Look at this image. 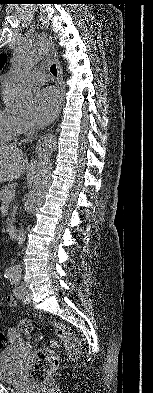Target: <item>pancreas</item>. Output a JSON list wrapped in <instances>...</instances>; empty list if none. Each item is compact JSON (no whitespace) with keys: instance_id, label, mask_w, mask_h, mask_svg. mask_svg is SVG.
Returning <instances> with one entry per match:
<instances>
[{"instance_id":"obj_1","label":"pancreas","mask_w":153,"mask_h":393,"mask_svg":"<svg viewBox=\"0 0 153 393\" xmlns=\"http://www.w3.org/2000/svg\"><path fill=\"white\" fill-rule=\"evenodd\" d=\"M11 191H13L12 184L4 185L3 188L0 190V200L10 203L12 199L8 200V199H6V196ZM14 211H15V209H14ZM14 216H15V212L11 213L12 218H9V217L7 218V220H6L7 226H10L12 224V222L14 221Z\"/></svg>"}]
</instances>
